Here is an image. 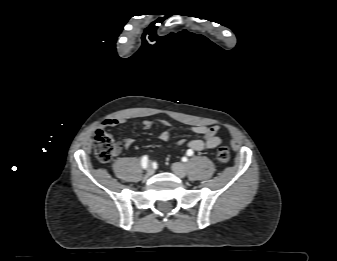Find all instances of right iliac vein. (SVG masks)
I'll use <instances>...</instances> for the list:
<instances>
[{
	"label": "right iliac vein",
	"mask_w": 337,
	"mask_h": 261,
	"mask_svg": "<svg viewBox=\"0 0 337 261\" xmlns=\"http://www.w3.org/2000/svg\"><path fill=\"white\" fill-rule=\"evenodd\" d=\"M154 173V169L151 165L147 168V176H151Z\"/></svg>",
	"instance_id": "right-iliac-vein-1"
}]
</instances>
